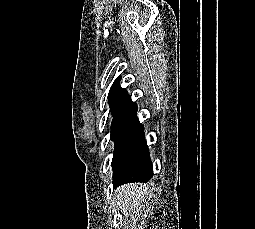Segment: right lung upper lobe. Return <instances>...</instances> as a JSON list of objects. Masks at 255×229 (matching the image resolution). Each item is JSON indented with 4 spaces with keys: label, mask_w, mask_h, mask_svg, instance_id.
Returning a JSON list of instances; mask_svg holds the SVG:
<instances>
[{
    "label": "right lung upper lobe",
    "mask_w": 255,
    "mask_h": 229,
    "mask_svg": "<svg viewBox=\"0 0 255 229\" xmlns=\"http://www.w3.org/2000/svg\"><path fill=\"white\" fill-rule=\"evenodd\" d=\"M120 80L121 76L114 81L108 95L111 113L114 119L126 116L129 112L137 109L136 103L132 102L126 89L119 86Z\"/></svg>",
    "instance_id": "right-lung-upper-lobe-1"
}]
</instances>
